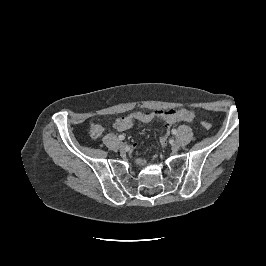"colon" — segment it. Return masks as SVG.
Instances as JSON below:
<instances>
[{
    "label": "colon",
    "instance_id": "colon-1",
    "mask_svg": "<svg viewBox=\"0 0 266 266\" xmlns=\"http://www.w3.org/2000/svg\"><path fill=\"white\" fill-rule=\"evenodd\" d=\"M201 126L206 129V130H209L211 128V124L209 122H206V121H202L201 122Z\"/></svg>",
    "mask_w": 266,
    "mask_h": 266
}]
</instances>
